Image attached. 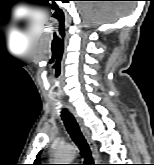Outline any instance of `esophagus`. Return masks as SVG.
<instances>
[{
    "instance_id": "esophagus-1",
    "label": "esophagus",
    "mask_w": 154,
    "mask_h": 165,
    "mask_svg": "<svg viewBox=\"0 0 154 165\" xmlns=\"http://www.w3.org/2000/svg\"><path fill=\"white\" fill-rule=\"evenodd\" d=\"M71 111L80 127V130L82 132V134L84 135L85 139L87 140L88 144H89V147H90V150H91V153H92V156L94 158V160H98V157H99V154H98V148H97V145L95 144V142L92 140V137H91V133H90V130L88 129V127L84 124L82 118L77 114V112L71 108Z\"/></svg>"
}]
</instances>
